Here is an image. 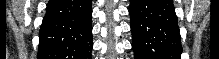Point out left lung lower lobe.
<instances>
[{
	"label": "left lung lower lobe",
	"mask_w": 219,
	"mask_h": 59,
	"mask_svg": "<svg viewBox=\"0 0 219 59\" xmlns=\"http://www.w3.org/2000/svg\"><path fill=\"white\" fill-rule=\"evenodd\" d=\"M135 59H180L182 46L171 0H130Z\"/></svg>",
	"instance_id": "1"
}]
</instances>
